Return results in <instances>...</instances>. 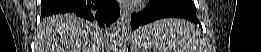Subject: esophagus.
Instances as JSON below:
<instances>
[{
    "instance_id": "esophagus-1",
    "label": "esophagus",
    "mask_w": 261,
    "mask_h": 52,
    "mask_svg": "<svg viewBox=\"0 0 261 52\" xmlns=\"http://www.w3.org/2000/svg\"><path fill=\"white\" fill-rule=\"evenodd\" d=\"M129 16H130L129 10H127V9L121 10V20L122 21L127 22L129 20Z\"/></svg>"
}]
</instances>
